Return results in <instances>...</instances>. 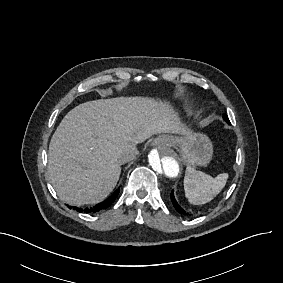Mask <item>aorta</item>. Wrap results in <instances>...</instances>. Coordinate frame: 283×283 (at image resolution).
<instances>
[{
  "label": "aorta",
  "instance_id": "762f6f07",
  "mask_svg": "<svg viewBox=\"0 0 283 283\" xmlns=\"http://www.w3.org/2000/svg\"><path fill=\"white\" fill-rule=\"evenodd\" d=\"M148 162L155 178L163 182L175 179L181 171L178 155L167 146L152 149L148 155Z\"/></svg>",
  "mask_w": 283,
  "mask_h": 283
}]
</instances>
